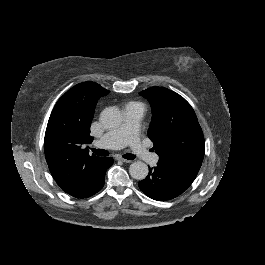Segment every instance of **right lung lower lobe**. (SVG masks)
I'll return each instance as SVG.
<instances>
[{"mask_svg": "<svg viewBox=\"0 0 265 265\" xmlns=\"http://www.w3.org/2000/svg\"><path fill=\"white\" fill-rule=\"evenodd\" d=\"M112 164H113V158L111 157L105 158V160L103 161L104 169L98 175V177L95 179V182L92 185L81 188L76 191H72L68 194L76 198H87L97 193L103 187L105 181V172Z\"/></svg>", "mask_w": 265, "mask_h": 265, "instance_id": "98d812e1", "label": "right lung lower lobe"}]
</instances>
